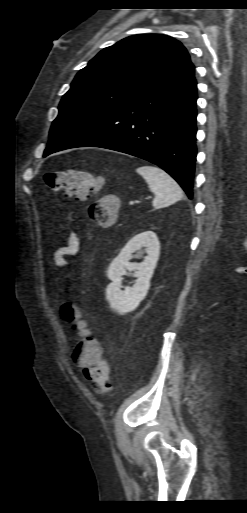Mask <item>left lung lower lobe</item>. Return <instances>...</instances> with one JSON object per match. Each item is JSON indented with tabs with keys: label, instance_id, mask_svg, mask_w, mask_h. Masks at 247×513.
Here are the masks:
<instances>
[{
	"label": "left lung lower lobe",
	"instance_id": "left-lung-lower-lobe-1",
	"mask_svg": "<svg viewBox=\"0 0 247 513\" xmlns=\"http://www.w3.org/2000/svg\"><path fill=\"white\" fill-rule=\"evenodd\" d=\"M196 100L194 65L190 63L168 81L97 120L51 153L75 147L127 153L160 166L192 199L197 153Z\"/></svg>",
	"mask_w": 247,
	"mask_h": 513
}]
</instances>
